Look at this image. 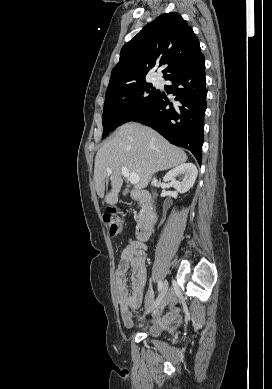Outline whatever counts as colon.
Returning <instances> with one entry per match:
<instances>
[{
  "label": "colon",
  "instance_id": "5ec220e1",
  "mask_svg": "<svg viewBox=\"0 0 272 389\" xmlns=\"http://www.w3.org/2000/svg\"><path fill=\"white\" fill-rule=\"evenodd\" d=\"M105 225L108 228V231L111 236H115L119 233L122 226V221L120 217L118 216V213L116 210L111 209L108 212L105 213L104 217Z\"/></svg>",
  "mask_w": 272,
  "mask_h": 389
}]
</instances>
